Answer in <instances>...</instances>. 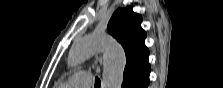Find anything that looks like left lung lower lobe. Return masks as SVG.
Masks as SVG:
<instances>
[{"mask_svg":"<svg viewBox=\"0 0 223 88\" xmlns=\"http://www.w3.org/2000/svg\"><path fill=\"white\" fill-rule=\"evenodd\" d=\"M150 65L124 72L122 88H147L149 84Z\"/></svg>","mask_w":223,"mask_h":88,"instance_id":"1","label":"left lung lower lobe"}]
</instances>
